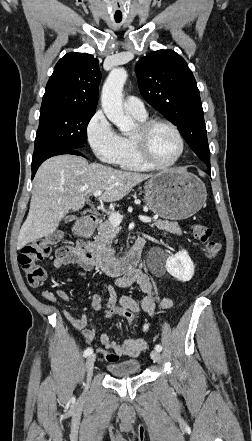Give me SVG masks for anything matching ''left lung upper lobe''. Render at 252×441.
Segmentation results:
<instances>
[{
	"label": "left lung upper lobe",
	"instance_id": "5c2ea615",
	"mask_svg": "<svg viewBox=\"0 0 252 441\" xmlns=\"http://www.w3.org/2000/svg\"><path fill=\"white\" fill-rule=\"evenodd\" d=\"M143 98L174 123L193 152L210 165L209 146L197 83L185 60L173 50H158L136 64Z\"/></svg>",
	"mask_w": 252,
	"mask_h": 441
}]
</instances>
